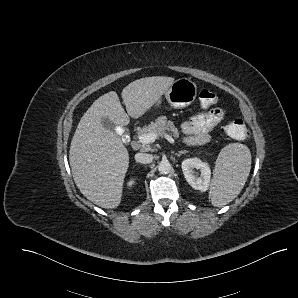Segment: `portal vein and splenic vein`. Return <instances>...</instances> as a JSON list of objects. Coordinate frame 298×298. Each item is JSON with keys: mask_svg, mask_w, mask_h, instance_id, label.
Instances as JSON below:
<instances>
[{"mask_svg": "<svg viewBox=\"0 0 298 298\" xmlns=\"http://www.w3.org/2000/svg\"><path fill=\"white\" fill-rule=\"evenodd\" d=\"M159 135L157 133H154V132H149V133H146V134H141L138 136V139H139V142L142 143V144H150V143H154L157 139H158ZM163 137L171 144H174L175 143V140L174 138L165 133L163 135Z\"/></svg>", "mask_w": 298, "mask_h": 298, "instance_id": "portal-vein-and-splenic-vein-1", "label": "portal vein and splenic vein"}]
</instances>
